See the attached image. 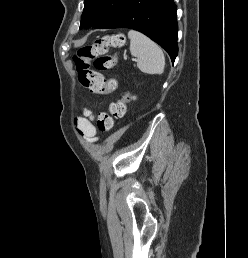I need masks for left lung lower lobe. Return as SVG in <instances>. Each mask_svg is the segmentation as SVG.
<instances>
[{
  "label": "left lung lower lobe",
  "instance_id": "0a47b994",
  "mask_svg": "<svg viewBox=\"0 0 248 258\" xmlns=\"http://www.w3.org/2000/svg\"><path fill=\"white\" fill-rule=\"evenodd\" d=\"M97 28H131L159 44L172 62L178 54L176 5L173 0H128L112 19Z\"/></svg>",
  "mask_w": 248,
  "mask_h": 258
}]
</instances>
